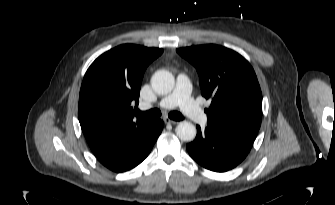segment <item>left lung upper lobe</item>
I'll return each mask as SVG.
<instances>
[{
  "label": "left lung upper lobe",
  "instance_id": "obj_1",
  "mask_svg": "<svg viewBox=\"0 0 335 205\" xmlns=\"http://www.w3.org/2000/svg\"><path fill=\"white\" fill-rule=\"evenodd\" d=\"M176 51L195 66L201 94L211 100L205 109L208 126L254 141L261 125L262 93L249 62L214 44Z\"/></svg>",
  "mask_w": 335,
  "mask_h": 205
}]
</instances>
